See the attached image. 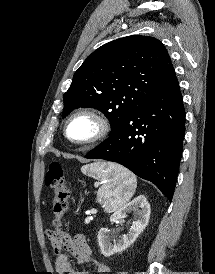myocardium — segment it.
Masks as SVG:
<instances>
[{"label":"myocardium","instance_id":"f54148a6","mask_svg":"<svg viewBox=\"0 0 215 274\" xmlns=\"http://www.w3.org/2000/svg\"><path fill=\"white\" fill-rule=\"evenodd\" d=\"M80 116H86V117L91 118L96 124V132L94 133L93 136H91L90 138H88L86 140L75 141V140L71 139L68 135V126L73 119L80 117ZM110 131H111V123H110L109 119L105 115L100 113L99 111L90 109V108H83V109H79V110L73 112L72 114H70L67 117V119L64 122V126H63L64 137L71 144L79 146V147L92 146V145L102 141L109 135Z\"/></svg>","mask_w":215,"mask_h":274}]
</instances>
